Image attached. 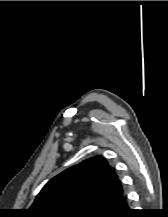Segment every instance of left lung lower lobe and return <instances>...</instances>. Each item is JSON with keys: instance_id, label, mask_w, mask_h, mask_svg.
<instances>
[{"instance_id": "obj_1", "label": "left lung lower lobe", "mask_w": 168, "mask_h": 217, "mask_svg": "<svg viewBox=\"0 0 168 217\" xmlns=\"http://www.w3.org/2000/svg\"><path fill=\"white\" fill-rule=\"evenodd\" d=\"M133 210L129 209L127 196L123 191L113 198L106 210L99 217H132Z\"/></svg>"}]
</instances>
